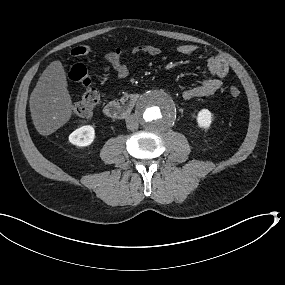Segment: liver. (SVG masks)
Returning <instances> with one entry per match:
<instances>
[{"instance_id": "6515ba94", "label": "liver", "mask_w": 285, "mask_h": 285, "mask_svg": "<svg viewBox=\"0 0 285 285\" xmlns=\"http://www.w3.org/2000/svg\"><path fill=\"white\" fill-rule=\"evenodd\" d=\"M33 124L43 136L54 133L69 121L72 101L60 61L51 62L40 76L29 100Z\"/></svg>"}]
</instances>
